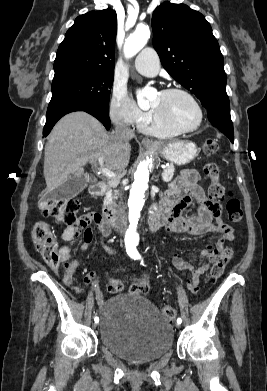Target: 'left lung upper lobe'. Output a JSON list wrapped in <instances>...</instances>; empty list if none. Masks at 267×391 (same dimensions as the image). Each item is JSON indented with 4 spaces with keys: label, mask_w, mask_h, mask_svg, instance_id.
Instances as JSON below:
<instances>
[{
    "label": "left lung upper lobe",
    "mask_w": 267,
    "mask_h": 391,
    "mask_svg": "<svg viewBox=\"0 0 267 391\" xmlns=\"http://www.w3.org/2000/svg\"><path fill=\"white\" fill-rule=\"evenodd\" d=\"M153 46L164 69L209 109L229 104L224 60L205 17L165 2L152 16Z\"/></svg>",
    "instance_id": "1"
}]
</instances>
